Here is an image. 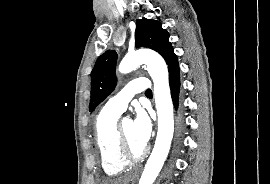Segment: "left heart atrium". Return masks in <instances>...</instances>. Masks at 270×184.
<instances>
[{
	"instance_id": "1",
	"label": "left heart atrium",
	"mask_w": 270,
	"mask_h": 184,
	"mask_svg": "<svg viewBox=\"0 0 270 184\" xmlns=\"http://www.w3.org/2000/svg\"><path fill=\"white\" fill-rule=\"evenodd\" d=\"M133 125L137 139L146 145L152 134V125L144 110H137Z\"/></svg>"
}]
</instances>
